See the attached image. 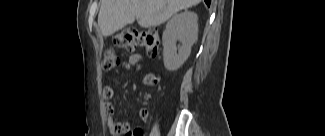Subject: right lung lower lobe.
Segmentation results:
<instances>
[{
    "label": "right lung lower lobe",
    "instance_id": "1",
    "mask_svg": "<svg viewBox=\"0 0 325 136\" xmlns=\"http://www.w3.org/2000/svg\"><path fill=\"white\" fill-rule=\"evenodd\" d=\"M206 2V4L209 6L210 5V2L211 0H204Z\"/></svg>",
    "mask_w": 325,
    "mask_h": 136
}]
</instances>
